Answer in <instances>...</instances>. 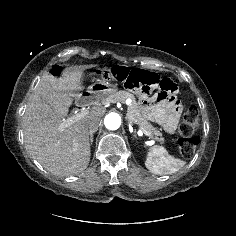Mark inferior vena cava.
<instances>
[{
  "mask_svg": "<svg viewBox=\"0 0 236 236\" xmlns=\"http://www.w3.org/2000/svg\"><path fill=\"white\" fill-rule=\"evenodd\" d=\"M100 121V118H92L87 121L86 125L90 130H97L101 124Z\"/></svg>",
  "mask_w": 236,
  "mask_h": 236,
  "instance_id": "inferior-vena-cava-1",
  "label": "inferior vena cava"
}]
</instances>
